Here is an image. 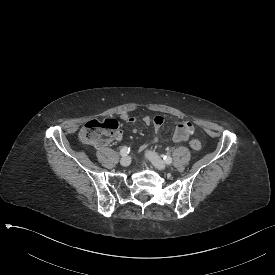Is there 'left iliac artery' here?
Returning a JSON list of instances; mask_svg holds the SVG:
<instances>
[{
  "instance_id": "44dca946",
  "label": "left iliac artery",
  "mask_w": 275,
  "mask_h": 275,
  "mask_svg": "<svg viewBox=\"0 0 275 275\" xmlns=\"http://www.w3.org/2000/svg\"><path fill=\"white\" fill-rule=\"evenodd\" d=\"M163 159H164L166 164H171L172 163V158L169 155L163 156Z\"/></svg>"
}]
</instances>
